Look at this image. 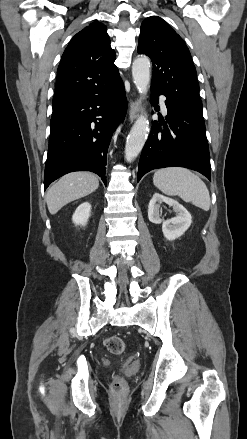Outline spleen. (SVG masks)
<instances>
[{
  "mask_svg": "<svg viewBox=\"0 0 247 439\" xmlns=\"http://www.w3.org/2000/svg\"><path fill=\"white\" fill-rule=\"evenodd\" d=\"M153 183L168 196H179L204 211L210 209V196L205 183L186 168L159 169L153 176Z\"/></svg>",
  "mask_w": 247,
  "mask_h": 439,
  "instance_id": "1",
  "label": "spleen"
}]
</instances>
